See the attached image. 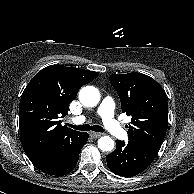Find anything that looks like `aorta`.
I'll list each match as a JSON object with an SVG mask.
<instances>
[{"mask_svg": "<svg viewBox=\"0 0 194 194\" xmlns=\"http://www.w3.org/2000/svg\"><path fill=\"white\" fill-rule=\"evenodd\" d=\"M79 100L86 107H94L100 101V93L93 86H85L79 92ZM98 147L102 151H112L115 143L109 136H102L98 140Z\"/></svg>", "mask_w": 194, "mask_h": 194, "instance_id": "1", "label": "aorta"}]
</instances>
